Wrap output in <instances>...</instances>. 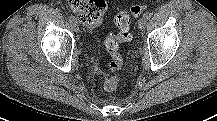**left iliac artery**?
<instances>
[{
    "label": "left iliac artery",
    "instance_id": "1",
    "mask_svg": "<svg viewBox=\"0 0 217 121\" xmlns=\"http://www.w3.org/2000/svg\"><path fill=\"white\" fill-rule=\"evenodd\" d=\"M151 16H152V13H151V12H146V13L144 14V17H145L147 20L150 19Z\"/></svg>",
    "mask_w": 217,
    "mask_h": 121
}]
</instances>
